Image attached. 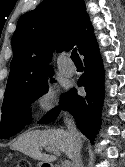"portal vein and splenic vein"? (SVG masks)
Wrapping results in <instances>:
<instances>
[{"label":"portal vein and splenic vein","instance_id":"obj_1","mask_svg":"<svg viewBox=\"0 0 125 167\" xmlns=\"http://www.w3.org/2000/svg\"><path fill=\"white\" fill-rule=\"evenodd\" d=\"M45 150L48 151V152H52L54 153L55 155H60V151L54 147H45ZM71 165V162L69 160H65L63 163H62V167H70Z\"/></svg>","mask_w":125,"mask_h":167}]
</instances>
